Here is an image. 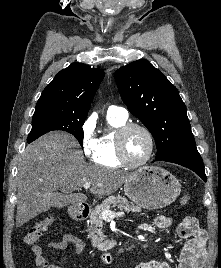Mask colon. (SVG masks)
I'll use <instances>...</instances> for the list:
<instances>
[{
    "instance_id": "colon-1",
    "label": "colon",
    "mask_w": 221,
    "mask_h": 268,
    "mask_svg": "<svg viewBox=\"0 0 221 268\" xmlns=\"http://www.w3.org/2000/svg\"><path fill=\"white\" fill-rule=\"evenodd\" d=\"M190 201V196L184 195L180 199L182 205H186ZM54 223V218L49 217L37 222L25 235L24 241L28 245H35L41 239L43 233Z\"/></svg>"
}]
</instances>
